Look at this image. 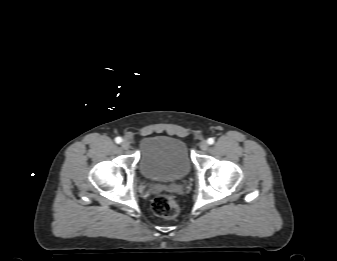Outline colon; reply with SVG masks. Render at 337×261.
<instances>
[{
	"label": "colon",
	"instance_id": "1",
	"mask_svg": "<svg viewBox=\"0 0 337 261\" xmlns=\"http://www.w3.org/2000/svg\"><path fill=\"white\" fill-rule=\"evenodd\" d=\"M153 213L161 218L173 219L179 213V206L175 198L168 194L156 196L151 203Z\"/></svg>",
	"mask_w": 337,
	"mask_h": 261
}]
</instances>
